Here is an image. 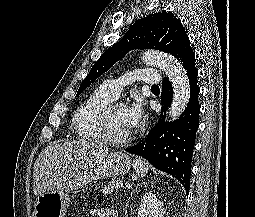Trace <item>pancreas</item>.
<instances>
[{
  "mask_svg": "<svg viewBox=\"0 0 255 217\" xmlns=\"http://www.w3.org/2000/svg\"><path fill=\"white\" fill-rule=\"evenodd\" d=\"M123 187L122 180H112L102 188L103 194H111L114 190H119Z\"/></svg>",
  "mask_w": 255,
  "mask_h": 217,
  "instance_id": "1",
  "label": "pancreas"
}]
</instances>
